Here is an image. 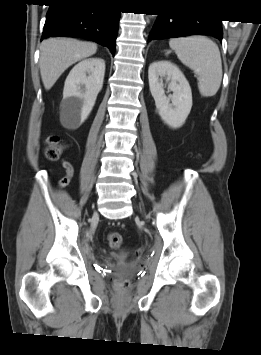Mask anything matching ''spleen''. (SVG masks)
Here are the masks:
<instances>
[{
    "label": "spleen",
    "mask_w": 261,
    "mask_h": 355,
    "mask_svg": "<svg viewBox=\"0 0 261 355\" xmlns=\"http://www.w3.org/2000/svg\"><path fill=\"white\" fill-rule=\"evenodd\" d=\"M169 45L178 59L198 76L203 97L214 96L222 81V61L218 46L205 36L170 39Z\"/></svg>",
    "instance_id": "spleen-1"
}]
</instances>
